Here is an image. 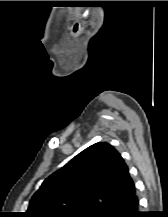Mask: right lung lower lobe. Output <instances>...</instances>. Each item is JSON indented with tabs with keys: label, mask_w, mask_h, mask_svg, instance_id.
Returning a JSON list of instances; mask_svg holds the SVG:
<instances>
[{
	"label": "right lung lower lobe",
	"mask_w": 168,
	"mask_h": 217,
	"mask_svg": "<svg viewBox=\"0 0 168 217\" xmlns=\"http://www.w3.org/2000/svg\"><path fill=\"white\" fill-rule=\"evenodd\" d=\"M139 200L136 192L103 211L98 217H143V214L138 211Z\"/></svg>",
	"instance_id": "98d812e1"
}]
</instances>
